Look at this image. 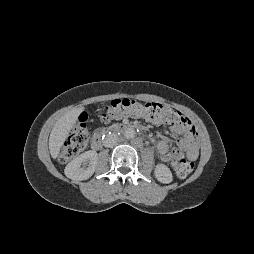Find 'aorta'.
Masks as SVG:
<instances>
[{
  "mask_svg": "<svg viewBox=\"0 0 254 254\" xmlns=\"http://www.w3.org/2000/svg\"><path fill=\"white\" fill-rule=\"evenodd\" d=\"M124 136L127 139H132L135 137V131L133 129L129 128V129L125 130Z\"/></svg>",
  "mask_w": 254,
  "mask_h": 254,
  "instance_id": "1",
  "label": "aorta"
}]
</instances>
